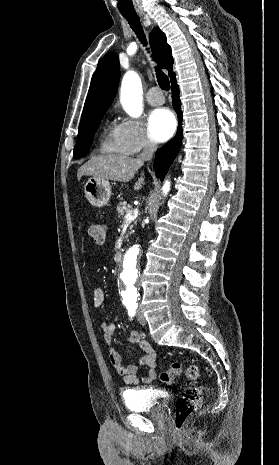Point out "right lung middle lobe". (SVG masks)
<instances>
[{"label":"right lung middle lobe","mask_w":279,"mask_h":465,"mask_svg":"<svg viewBox=\"0 0 279 465\" xmlns=\"http://www.w3.org/2000/svg\"><path fill=\"white\" fill-rule=\"evenodd\" d=\"M106 110L99 113L92 121L79 127L78 139L74 147V158L78 159L85 156L93 142L94 133Z\"/></svg>","instance_id":"right-lung-middle-lobe-1"}]
</instances>
